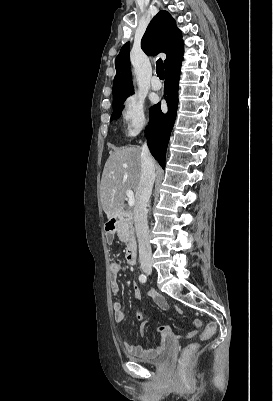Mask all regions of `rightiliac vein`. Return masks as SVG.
Returning <instances> with one entry per match:
<instances>
[{
    "label": "right iliac vein",
    "mask_w": 273,
    "mask_h": 401,
    "mask_svg": "<svg viewBox=\"0 0 273 401\" xmlns=\"http://www.w3.org/2000/svg\"><path fill=\"white\" fill-rule=\"evenodd\" d=\"M142 270L148 275L152 274V266L150 264H143Z\"/></svg>",
    "instance_id": "63e3f726"
}]
</instances>
